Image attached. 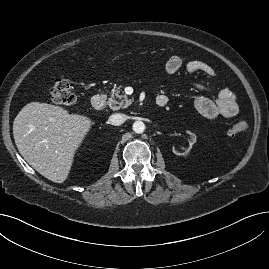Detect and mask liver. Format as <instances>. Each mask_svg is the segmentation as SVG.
<instances>
[{"mask_svg": "<svg viewBox=\"0 0 269 269\" xmlns=\"http://www.w3.org/2000/svg\"><path fill=\"white\" fill-rule=\"evenodd\" d=\"M92 124L89 117L69 114L63 107L30 102L14 119L13 136L29 165L47 179L63 183Z\"/></svg>", "mask_w": 269, "mask_h": 269, "instance_id": "6515ba94", "label": "liver"}]
</instances>
